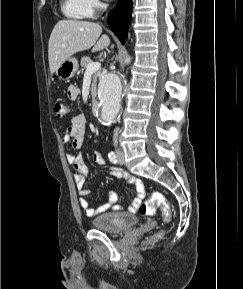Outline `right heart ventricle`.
Listing matches in <instances>:
<instances>
[{
	"instance_id": "obj_1",
	"label": "right heart ventricle",
	"mask_w": 243,
	"mask_h": 289,
	"mask_svg": "<svg viewBox=\"0 0 243 289\" xmlns=\"http://www.w3.org/2000/svg\"><path fill=\"white\" fill-rule=\"evenodd\" d=\"M61 10L66 17L72 19H85L91 15L83 0H62Z\"/></svg>"
}]
</instances>
